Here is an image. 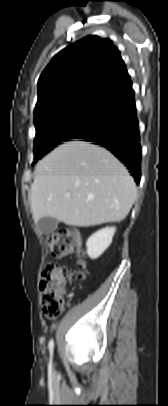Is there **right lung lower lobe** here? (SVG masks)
I'll list each match as a JSON object with an SVG mask.
<instances>
[{"label": "right lung lower lobe", "mask_w": 168, "mask_h": 406, "mask_svg": "<svg viewBox=\"0 0 168 406\" xmlns=\"http://www.w3.org/2000/svg\"><path fill=\"white\" fill-rule=\"evenodd\" d=\"M107 116L78 139L108 149L124 163L137 184L141 178V146L134 91L131 88L106 101Z\"/></svg>", "instance_id": "1"}]
</instances>
